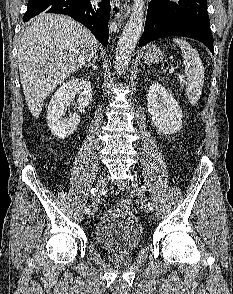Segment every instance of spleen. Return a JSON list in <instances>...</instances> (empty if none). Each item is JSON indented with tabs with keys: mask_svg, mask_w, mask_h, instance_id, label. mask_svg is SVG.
<instances>
[{
	"mask_svg": "<svg viewBox=\"0 0 233 294\" xmlns=\"http://www.w3.org/2000/svg\"><path fill=\"white\" fill-rule=\"evenodd\" d=\"M173 42L177 44L184 58L183 64L185 67L186 95L191 105L195 106L201 96L204 84V67L199 57L198 51L185 40L174 38Z\"/></svg>",
	"mask_w": 233,
	"mask_h": 294,
	"instance_id": "spleen-1",
	"label": "spleen"
}]
</instances>
